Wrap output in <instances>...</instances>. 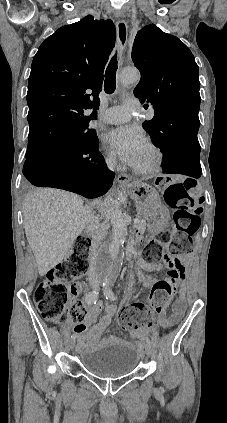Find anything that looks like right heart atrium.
Returning a JSON list of instances; mask_svg holds the SVG:
<instances>
[{"label": "right heart atrium", "instance_id": "d8ad5b80", "mask_svg": "<svg viewBox=\"0 0 227 423\" xmlns=\"http://www.w3.org/2000/svg\"><path fill=\"white\" fill-rule=\"evenodd\" d=\"M101 156H102V159H103V162H104L105 166L108 169L114 170V169L118 168L117 159H116V157L112 153H110L107 150L103 149L102 152H101Z\"/></svg>", "mask_w": 227, "mask_h": 423}]
</instances>
